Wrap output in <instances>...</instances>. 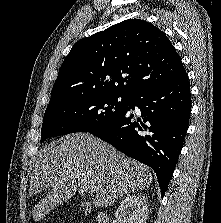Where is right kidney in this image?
<instances>
[{
	"mask_svg": "<svg viewBox=\"0 0 221 223\" xmlns=\"http://www.w3.org/2000/svg\"><path fill=\"white\" fill-rule=\"evenodd\" d=\"M119 223H146L148 207L146 197L142 194L128 195L116 210Z\"/></svg>",
	"mask_w": 221,
	"mask_h": 223,
	"instance_id": "right-kidney-1",
	"label": "right kidney"
}]
</instances>
